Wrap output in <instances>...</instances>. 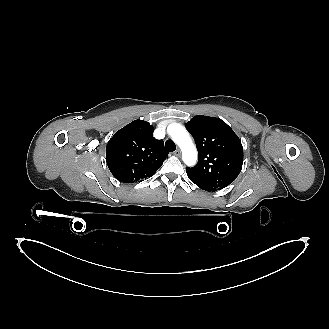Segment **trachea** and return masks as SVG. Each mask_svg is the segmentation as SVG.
<instances>
[{
    "label": "trachea",
    "instance_id": "3493384b",
    "mask_svg": "<svg viewBox=\"0 0 329 329\" xmlns=\"http://www.w3.org/2000/svg\"><path fill=\"white\" fill-rule=\"evenodd\" d=\"M165 146H166V149L168 150V151H175L176 150V145L174 144V142L173 141H171V140H167L166 142H165Z\"/></svg>",
    "mask_w": 329,
    "mask_h": 329
}]
</instances>
